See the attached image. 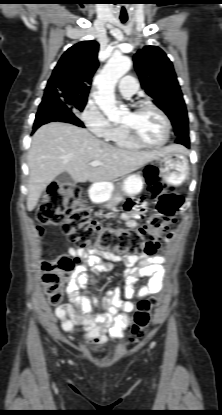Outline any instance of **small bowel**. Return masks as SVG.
I'll return each mask as SVG.
<instances>
[{
    "label": "small bowel",
    "instance_id": "small-bowel-1",
    "mask_svg": "<svg viewBox=\"0 0 222 415\" xmlns=\"http://www.w3.org/2000/svg\"><path fill=\"white\" fill-rule=\"evenodd\" d=\"M129 215L133 214V205L126 208ZM134 225V221H129ZM173 236L169 233L165 238L168 242ZM70 255L78 263L72 273V282L68 291L71 299L81 312V315L67 317L66 307H58L56 316L61 321L62 329L67 333L82 331L84 338L91 343L105 344L110 339H118L128 326L127 313L132 311L134 304L129 301L133 296L139 298L157 294L162 289L166 259L162 255H114L99 254L74 247L69 248ZM114 263L125 267L124 278L126 288L121 291L115 288L101 298L91 294L88 286L98 284V274L113 269ZM139 277H148V283L137 290L133 284ZM83 296L78 295V290ZM97 309L99 312L93 313Z\"/></svg>",
    "mask_w": 222,
    "mask_h": 415
}]
</instances>
